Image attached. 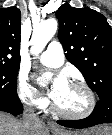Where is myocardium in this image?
Returning <instances> with one entry per match:
<instances>
[{
	"mask_svg": "<svg viewBox=\"0 0 112 135\" xmlns=\"http://www.w3.org/2000/svg\"><path fill=\"white\" fill-rule=\"evenodd\" d=\"M70 84L78 86L85 91L86 98H87L86 108L81 112L72 113V112L63 110L62 108H60L57 105V103L55 101H53L52 109L56 114H58L61 117L67 118V119H71V120L85 119V118L89 117L95 110V107H96L95 94H94L93 90L90 88V86L83 81L74 80Z\"/></svg>",
	"mask_w": 112,
	"mask_h": 135,
	"instance_id": "myocardium-1",
	"label": "myocardium"
}]
</instances>
